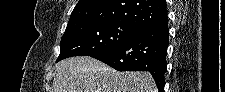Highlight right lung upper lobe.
I'll return each instance as SVG.
<instances>
[{
    "mask_svg": "<svg viewBox=\"0 0 225 92\" xmlns=\"http://www.w3.org/2000/svg\"><path fill=\"white\" fill-rule=\"evenodd\" d=\"M120 22L139 30L168 22L165 0H79L66 29L86 23Z\"/></svg>",
    "mask_w": 225,
    "mask_h": 92,
    "instance_id": "obj_1",
    "label": "right lung upper lobe"
}]
</instances>
